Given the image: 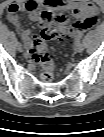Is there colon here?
Masks as SVG:
<instances>
[{"label": "colon", "mask_w": 104, "mask_h": 137, "mask_svg": "<svg viewBox=\"0 0 104 137\" xmlns=\"http://www.w3.org/2000/svg\"><path fill=\"white\" fill-rule=\"evenodd\" d=\"M40 23L42 32L33 44L32 57L41 66L43 70V79L45 81H50L53 78L54 61L53 56L48 49L47 41L65 38V33L67 32L65 29H60L57 25H55L51 16L46 12L41 13Z\"/></svg>", "instance_id": "obj_1"}]
</instances>
